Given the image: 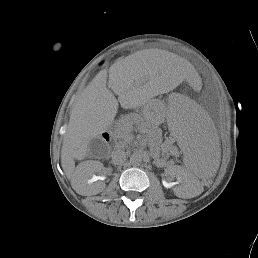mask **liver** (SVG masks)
<instances>
[{"mask_svg":"<svg viewBox=\"0 0 258 258\" xmlns=\"http://www.w3.org/2000/svg\"><path fill=\"white\" fill-rule=\"evenodd\" d=\"M133 54L118 61L109 71V87L118 95V101L126 106L128 92L137 76L159 75V70ZM118 101L106 87V74L99 72L84 89L71 111L65 128L61 149V166L70 180L72 188L80 195H90L87 180L94 171H100L101 163L86 161L75 167L74 160H83L89 155L88 144L99 137L108 127L117 112Z\"/></svg>","mask_w":258,"mask_h":258,"instance_id":"obj_1","label":"liver"}]
</instances>
